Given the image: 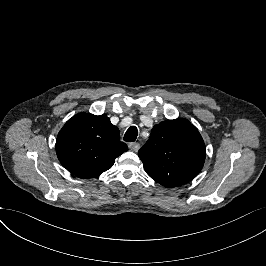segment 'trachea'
<instances>
[{"mask_svg":"<svg viewBox=\"0 0 266 266\" xmlns=\"http://www.w3.org/2000/svg\"><path fill=\"white\" fill-rule=\"evenodd\" d=\"M138 130L135 126L129 127V129L126 131V134L124 135V141L127 142H134L137 138Z\"/></svg>","mask_w":266,"mask_h":266,"instance_id":"1","label":"trachea"}]
</instances>
